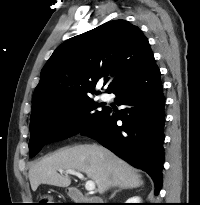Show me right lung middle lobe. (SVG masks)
<instances>
[{"label": "right lung middle lobe", "instance_id": "dd1d6c3e", "mask_svg": "<svg viewBox=\"0 0 200 205\" xmlns=\"http://www.w3.org/2000/svg\"><path fill=\"white\" fill-rule=\"evenodd\" d=\"M101 106L89 96L65 99L45 106L39 115L30 120V157H34L47 143L69 138L94 126L108 109L102 107L101 111L97 110ZM72 116L78 119V123L69 128L65 122Z\"/></svg>", "mask_w": 200, "mask_h": 205}]
</instances>
